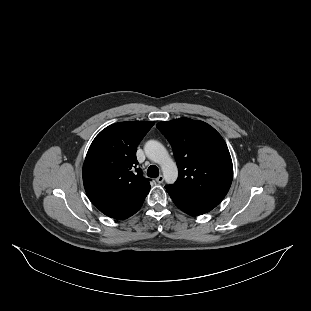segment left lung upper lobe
<instances>
[{"mask_svg": "<svg viewBox=\"0 0 311 311\" xmlns=\"http://www.w3.org/2000/svg\"><path fill=\"white\" fill-rule=\"evenodd\" d=\"M157 128L171 144L179 170L177 181L166 189L218 205L233 178L231 156L221 135L207 123L189 118L162 121Z\"/></svg>", "mask_w": 311, "mask_h": 311, "instance_id": "1", "label": "left lung upper lobe"}]
</instances>
